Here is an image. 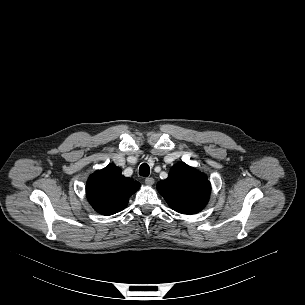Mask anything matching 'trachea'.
<instances>
[{"mask_svg": "<svg viewBox=\"0 0 305 305\" xmlns=\"http://www.w3.org/2000/svg\"><path fill=\"white\" fill-rule=\"evenodd\" d=\"M139 174L143 177H148L150 174L149 165L146 163L141 164V166L139 167Z\"/></svg>", "mask_w": 305, "mask_h": 305, "instance_id": "1", "label": "trachea"}]
</instances>
